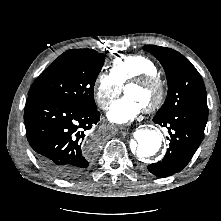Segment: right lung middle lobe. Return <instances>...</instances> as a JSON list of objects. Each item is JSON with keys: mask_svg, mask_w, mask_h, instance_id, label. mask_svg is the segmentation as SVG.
Masks as SVG:
<instances>
[{"mask_svg": "<svg viewBox=\"0 0 221 221\" xmlns=\"http://www.w3.org/2000/svg\"><path fill=\"white\" fill-rule=\"evenodd\" d=\"M104 60V54L92 49L66 51L38 76L28 96L41 95L78 108L97 110L93 88Z\"/></svg>", "mask_w": 221, "mask_h": 221, "instance_id": "right-lung-middle-lobe-1", "label": "right lung middle lobe"}]
</instances>
